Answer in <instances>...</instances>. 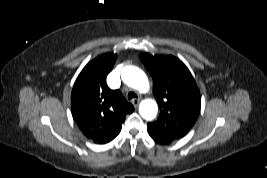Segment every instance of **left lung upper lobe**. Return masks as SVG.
<instances>
[{"instance_id": "left-lung-upper-lobe-1", "label": "left lung upper lobe", "mask_w": 267, "mask_h": 178, "mask_svg": "<svg viewBox=\"0 0 267 178\" xmlns=\"http://www.w3.org/2000/svg\"><path fill=\"white\" fill-rule=\"evenodd\" d=\"M153 78V94L160 107L155 122L148 123L151 136L169 144L184 137L194 125L201 108L197 84L185 64L169 55H140Z\"/></svg>"}]
</instances>
